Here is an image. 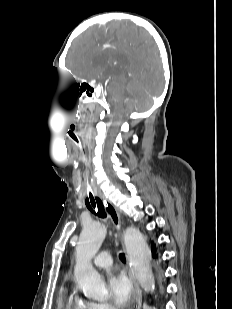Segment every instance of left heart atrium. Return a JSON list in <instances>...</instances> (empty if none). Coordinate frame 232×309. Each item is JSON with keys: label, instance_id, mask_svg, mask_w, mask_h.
Segmentation results:
<instances>
[{"label": "left heart atrium", "instance_id": "obj_1", "mask_svg": "<svg viewBox=\"0 0 232 309\" xmlns=\"http://www.w3.org/2000/svg\"><path fill=\"white\" fill-rule=\"evenodd\" d=\"M108 285L114 303L121 307H127L135 298V292L131 280L122 271L115 270L108 277Z\"/></svg>", "mask_w": 232, "mask_h": 309}]
</instances>
